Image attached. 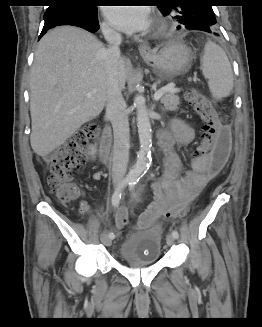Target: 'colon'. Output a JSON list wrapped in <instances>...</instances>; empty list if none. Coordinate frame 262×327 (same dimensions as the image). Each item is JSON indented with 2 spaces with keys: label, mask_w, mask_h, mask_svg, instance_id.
I'll list each match as a JSON object with an SVG mask.
<instances>
[{
  "label": "colon",
  "mask_w": 262,
  "mask_h": 327,
  "mask_svg": "<svg viewBox=\"0 0 262 327\" xmlns=\"http://www.w3.org/2000/svg\"><path fill=\"white\" fill-rule=\"evenodd\" d=\"M186 98L203 122L200 141L193 155H205L209 173L215 175L224 168L230 154L229 131L220 124L216 111L202 93L191 89L186 93ZM98 135L99 126L96 123L85 125L62 145L50 161L48 184L59 201L68 203L79 196L80 190L73 182V176L85 162L86 152ZM187 204H178L163 216L178 217L185 211ZM127 221V210L122 207L117 211L116 224L123 227Z\"/></svg>",
  "instance_id": "obj_1"
}]
</instances>
